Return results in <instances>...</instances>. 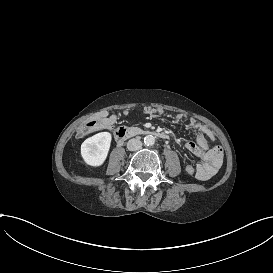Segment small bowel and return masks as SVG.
Returning a JSON list of instances; mask_svg holds the SVG:
<instances>
[{
	"label": "small bowel",
	"instance_id": "1",
	"mask_svg": "<svg viewBox=\"0 0 273 273\" xmlns=\"http://www.w3.org/2000/svg\"><path fill=\"white\" fill-rule=\"evenodd\" d=\"M183 119V115H177L175 121L179 122ZM117 121V115L109 112H100L95 117V123L91 127L83 126L79 133L86 135L96 131L112 130ZM190 126L196 134V140L187 142L185 147L201 160V163L197 166V178L207 180L220 168L223 161V149L220 146H209L208 138H213V134L206 125L191 119ZM186 171L189 174H193L195 169L189 165Z\"/></svg>",
	"mask_w": 273,
	"mask_h": 273
}]
</instances>
